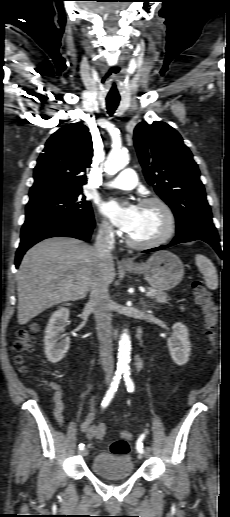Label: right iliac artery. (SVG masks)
<instances>
[{
  "mask_svg": "<svg viewBox=\"0 0 230 517\" xmlns=\"http://www.w3.org/2000/svg\"><path fill=\"white\" fill-rule=\"evenodd\" d=\"M121 374H122V371H116L115 376L113 377V380L110 384V387H109L108 391L106 392L105 397L103 398V401L101 404L102 408L107 407L108 404L111 402L112 398L114 397V394L117 391L118 385L120 383ZM79 449L80 450L84 449L83 443L79 444Z\"/></svg>",
  "mask_w": 230,
  "mask_h": 517,
  "instance_id": "82829eb1",
  "label": "right iliac artery"
}]
</instances>
